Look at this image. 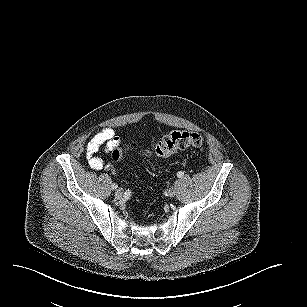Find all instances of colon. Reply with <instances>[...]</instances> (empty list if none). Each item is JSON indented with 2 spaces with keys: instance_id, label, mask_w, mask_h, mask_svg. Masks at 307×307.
<instances>
[{
  "instance_id": "colon-1",
  "label": "colon",
  "mask_w": 307,
  "mask_h": 307,
  "mask_svg": "<svg viewBox=\"0 0 307 307\" xmlns=\"http://www.w3.org/2000/svg\"><path fill=\"white\" fill-rule=\"evenodd\" d=\"M204 145V138L197 132L186 130H176L166 134L154 147V153L161 158H167L180 150L190 147L201 148ZM137 148L135 143H130L122 148H114L112 150V159L116 162L120 161L125 151H133Z\"/></svg>"
}]
</instances>
